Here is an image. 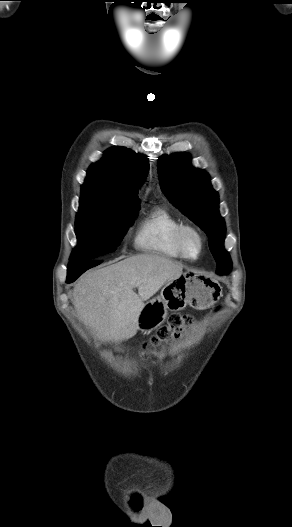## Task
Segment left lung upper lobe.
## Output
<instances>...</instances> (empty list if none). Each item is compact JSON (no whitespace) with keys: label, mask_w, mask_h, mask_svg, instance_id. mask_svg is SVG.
I'll return each mask as SVG.
<instances>
[{"label":"left lung upper lobe","mask_w":292,"mask_h":527,"mask_svg":"<svg viewBox=\"0 0 292 527\" xmlns=\"http://www.w3.org/2000/svg\"><path fill=\"white\" fill-rule=\"evenodd\" d=\"M158 175L161 189L171 203L207 234L217 262L216 273L229 272L232 262L223 246L225 223L219 214L218 193L212 189L209 175L193 168L186 153L159 157Z\"/></svg>","instance_id":"5c2ea615"}]
</instances>
